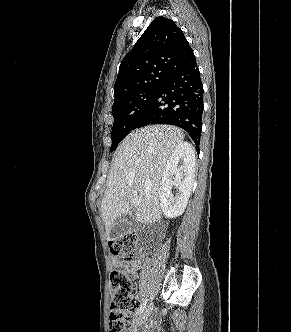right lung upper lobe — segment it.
I'll list each match as a JSON object with an SVG mask.
<instances>
[{
  "instance_id": "right-lung-upper-lobe-1",
  "label": "right lung upper lobe",
  "mask_w": 291,
  "mask_h": 332,
  "mask_svg": "<svg viewBox=\"0 0 291 332\" xmlns=\"http://www.w3.org/2000/svg\"><path fill=\"white\" fill-rule=\"evenodd\" d=\"M195 59L173 20L157 17L124 57L114 85L115 100L155 82Z\"/></svg>"
}]
</instances>
